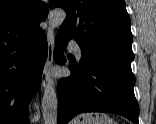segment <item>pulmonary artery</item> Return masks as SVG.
Returning a JSON list of instances; mask_svg holds the SVG:
<instances>
[{"instance_id":"obj_1","label":"pulmonary artery","mask_w":156,"mask_h":124,"mask_svg":"<svg viewBox=\"0 0 156 124\" xmlns=\"http://www.w3.org/2000/svg\"><path fill=\"white\" fill-rule=\"evenodd\" d=\"M69 45H70L72 51L74 52V54H75L78 58H80V57H81V48H80V46L78 45V43H77L76 41H74V40H71V41L69 42Z\"/></svg>"}]
</instances>
